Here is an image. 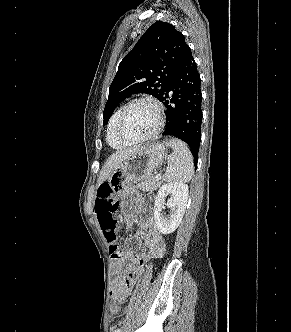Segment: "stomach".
Returning <instances> with one entry per match:
<instances>
[{
    "instance_id": "1",
    "label": "stomach",
    "mask_w": 291,
    "mask_h": 332,
    "mask_svg": "<svg viewBox=\"0 0 291 332\" xmlns=\"http://www.w3.org/2000/svg\"><path fill=\"white\" fill-rule=\"evenodd\" d=\"M165 151L163 143L142 147L125 159L108 177L106 182L117 196L122 213L138 211L140 194L134 183L151 178L153 171L163 163Z\"/></svg>"
}]
</instances>
